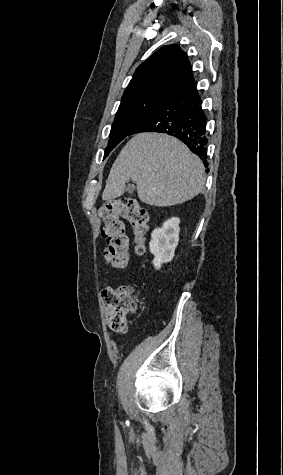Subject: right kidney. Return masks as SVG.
I'll return each instance as SVG.
<instances>
[{
    "instance_id": "right-kidney-1",
    "label": "right kidney",
    "mask_w": 283,
    "mask_h": 475,
    "mask_svg": "<svg viewBox=\"0 0 283 475\" xmlns=\"http://www.w3.org/2000/svg\"><path fill=\"white\" fill-rule=\"evenodd\" d=\"M179 218H170L164 222L162 228H155L151 234L149 247L151 253L155 255L153 265L160 269L162 263H167L173 259L175 247L179 241Z\"/></svg>"
}]
</instances>
